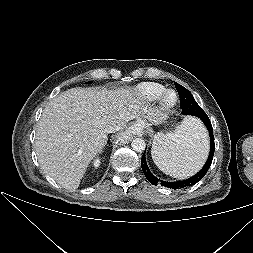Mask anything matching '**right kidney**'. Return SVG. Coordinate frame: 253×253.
Segmentation results:
<instances>
[{
	"mask_svg": "<svg viewBox=\"0 0 253 253\" xmlns=\"http://www.w3.org/2000/svg\"><path fill=\"white\" fill-rule=\"evenodd\" d=\"M99 165H100V160H99V159H96V160L94 161V166L97 168Z\"/></svg>",
	"mask_w": 253,
	"mask_h": 253,
	"instance_id": "obj_1",
	"label": "right kidney"
}]
</instances>
